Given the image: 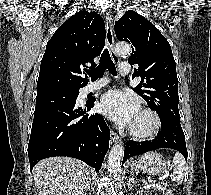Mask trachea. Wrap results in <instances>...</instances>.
I'll return each mask as SVG.
<instances>
[{"mask_svg": "<svg viewBox=\"0 0 211 195\" xmlns=\"http://www.w3.org/2000/svg\"><path fill=\"white\" fill-rule=\"evenodd\" d=\"M106 69H108L109 72L114 76L117 74L115 64L113 63L110 57L108 49H105L103 51L99 65L95 69L89 71L88 75L91 77V80L93 81L102 76V74Z\"/></svg>", "mask_w": 211, "mask_h": 195, "instance_id": "trachea-1", "label": "trachea"}]
</instances>
